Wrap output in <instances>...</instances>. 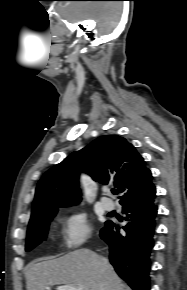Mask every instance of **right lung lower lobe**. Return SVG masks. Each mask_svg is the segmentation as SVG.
I'll use <instances>...</instances> for the list:
<instances>
[{
    "label": "right lung lower lobe",
    "mask_w": 187,
    "mask_h": 290,
    "mask_svg": "<svg viewBox=\"0 0 187 290\" xmlns=\"http://www.w3.org/2000/svg\"><path fill=\"white\" fill-rule=\"evenodd\" d=\"M155 198V197H154ZM154 198L140 204L123 206L127 225L107 221L100 237L110 247V262L118 275L133 290H149L150 256L154 247L157 206Z\"/></svg>",
    "instance_id": "98d812e1"
}]
</instances>
